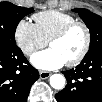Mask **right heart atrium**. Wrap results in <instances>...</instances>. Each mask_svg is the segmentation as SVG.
<instances>
[{"label": "right heart atrium", "instance_id": "d8ad5b80", "mask_svg": "<svg viewBox=\"0 0 102 102\" xmlns=\"http://www.w3.org/2000/svg\"><path fill=\"white\" fill-rule=\"evenodd\" d=\"M14 37L17 46L26 56H30L33 52L47 44V41L40 35L35 24L26 19H21L17 23Z\"/></svg>", "mask_w": 102, "mask_h": 102}]
</instances>
